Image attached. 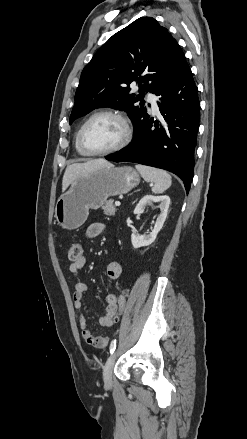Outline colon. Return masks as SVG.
I'll use <instances>...</instances> for the list:
<instances>
[{"mask_svg": "<svg viewBox=\"0 0 247 439\" xmlns=\"http://www.w3.org/2000/svg\"><path fill=\"white\" fill-rule=\"evenodd\" d=\"M83 254V247L80 243H73L68 250V257L71 261L78 260ZM128 293L126 290H122L117 300L115 319H118L120 314L125 309L127 303Z\"/></svg>", "mask_w": 247, "mask_h": 439, "instance_id": "1", "label": "colon"}]
</instances>
